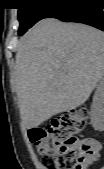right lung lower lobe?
<instances>
[{
	"mask_svg": "<svg viewBox=\"0 0 104 169\" xmlns=\"http://www.w3.org/2000/svg\"><path fill=\"white\" fill-rule=\"evenodd\" d=\"M104 0H62L45 18L91 25L104 31Z\"/></svg>",
	"mask_w": 104,
	"mask_h": 169,
	"instance_id": "right-lung-lower-lobe-1",
	"label": "right lung lower lobe"
}]
</instances>
